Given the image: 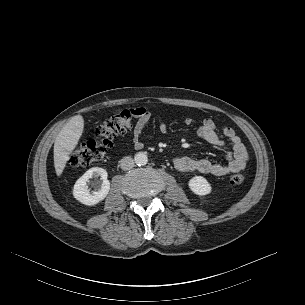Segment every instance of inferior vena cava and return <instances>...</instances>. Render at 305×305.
I'll return each mask as SVG.
<instances>
[{"mask_svg": "<svg viewBox=\"0 0 305 305\" xmlns=\"http://www.w3.org/2000/svg\"><path fill=\"white\" fill-rule=\"evenodd\" d=\"M120 166H121V169L122 170H130L133 168L134 166V160L132 157H123L121 160H120Z\"/></svg>", "mask_w": 305, "mask_h": 305, "instance_id": "inferior-vena-cava-1", "label": "inferior vena cava"}]
</instances>
